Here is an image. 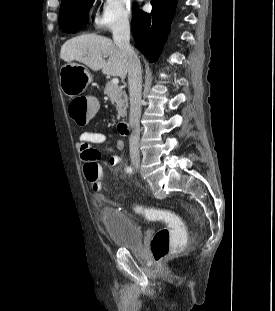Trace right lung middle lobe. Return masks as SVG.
Returning a JSON list of instances; mask_svg holds the SVG:
<instances>
[{"label":"right lung middle lobe","instance_id":"1","mask_svg":"<svg viewBox=\"0 0 275 311\" xmlns=\"http://www.w3.org/2000/svg\"><path fill=\"white\" fill-rule=\"evenodd\" d=\"M94 0H66L61 3L59 26L65 32H75L87 21V12Z\"/></svg>","mask_w":275,"mask_h":311}]
</instances>
